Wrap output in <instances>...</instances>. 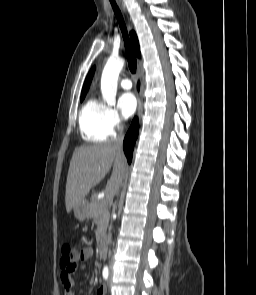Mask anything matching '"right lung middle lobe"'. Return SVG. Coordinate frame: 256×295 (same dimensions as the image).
<instances>
[{
    "label": "right lung middle lobe",
    "mask_w": 256,
    "mask_h": 295,
    "mask_svg": "<svg viewBox=\"0 0 256 295\" xmlns=\"http://www.w3.org/2000/svg\"><path fill=\"white\" fill-rule=\"evenodd\" d=\"M85 95H86V94H82V95H81V101H83Z\"/></svg>",
    "instance_id": "obj_1"
}]
</instances>
